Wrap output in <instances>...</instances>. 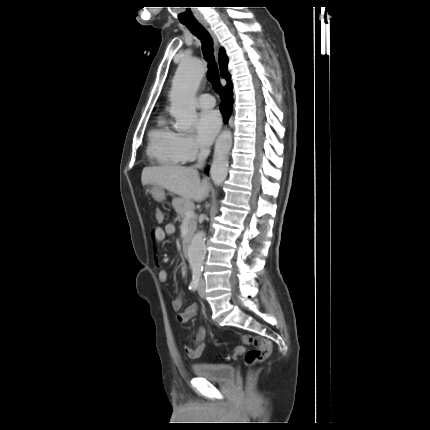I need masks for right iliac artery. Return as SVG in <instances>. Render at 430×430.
Instances as JSON below:
<instances>
[{"mask_svg": "<svg viewBox=\"0 0 430 430\" xmlns=\"http://www.w3.org/2000/svg\"><path fill=\"white\" fill-rule=\"evenodd\" d=\"M199 278H200V272H196V273L193 275V279H192V281H191V283H190V285H189V289H190V290H193V291H194V290H196V289H197Z\"/></svg>", "mask_w": 430, "mask_h": 430, "instance_id": "right-iliac-artery-1", "label": "right iliac artery"}]
</instances>
